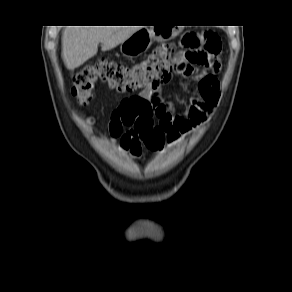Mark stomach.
Segmentation results:
<instances>
[{
    "label": "stomach",
    "instance_id": "obj_1",
    "mask_svg": "<svg viewBox=\"0 0 292 292\" xmlns=\"http://www.w3.org/2000/svg\"><path fill=\"white\" fill-rule=\"evenodd\" d=\"M181 29L150 27L141 28L125 40L120 47L121 53L126 57H134L147 51L153 41H164L175 37Z\"/></svg>",
    "mask_w": 292,
    "mask_h": 292
}]
</instances>
